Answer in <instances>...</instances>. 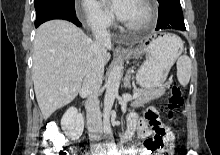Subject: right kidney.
<instances>
[{
    "label": "right kidney",
    "instance_id": "ca27d5eb",
    "mask_svg": "<svg viewBox=\"0 0 220 155\" xmlns=\"http://www.w3.org/2000/svg\"><path fill=\"white\" fill-rule=\"evenodd\" d=\"M61 127L66 136L78 139L84 130V118L76 108L71 107L63 115Z\"/></svg>",
    "mask_w": 220,
    "mask_h": 155
}]
</instances>
